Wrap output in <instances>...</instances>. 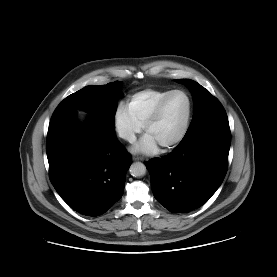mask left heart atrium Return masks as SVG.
Segmentation results:
<instances>
[{
    "label": "left heart atrium",
    "instance_id": "1",
    "mask_svg": "<svg viewBox=\"0 0 277 277\" xmlns=\"http://www.w3.org/2000/svg\"><path fill=\"white\" fill-rule=\"evenodd\" d=\"M159 145L156 140L149 134L146 133L133 147L134 153L141 154H153L158 151Z\"/></svg>",
    "mask_w": 277,
    "mask_h": 277
}]
</instances>
